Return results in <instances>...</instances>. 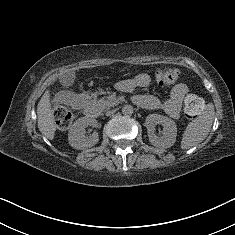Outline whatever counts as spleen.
<instances>
[{"label":"spleen","mask_w":235,"mask_h":235,"mask_svg":"<svg viewBox=\"0 0 235 235\" xmlns=\"http://www.w3.org/2000/svg\"><path fill=\"white\" fill-rule=\"evenodd\" d=\"M202 128H203V130H207V129H208V126H205V125H204ZM191 144H192V143H190V142H186V140L184 141V146H185V147H189V146H191Z\"/></svg>","instance_id":"spleen-1"}]
</instances>
